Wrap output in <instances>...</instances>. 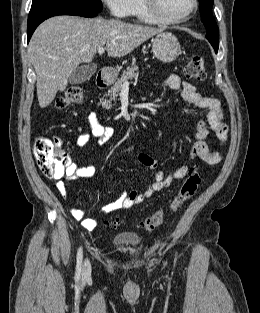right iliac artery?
<instances>
[{
  "instance_id": "obj_1",
  "label": "right iliac artery",
  "mask_w": 260,
  "mask_h": 313,
  "mask_svg": "<svg viewBox=\"0 0 260 313\" xmlns=\"http://www.w3.org/2000/svg\"><path fill=\"white\" fill-rule=\"evenodd\" d=\"M82 261H83V254H82V247H80L77 252V264H76V272H75V278L77 280L80 278V275H81Z\"/></svg>"
}]
</instances>
